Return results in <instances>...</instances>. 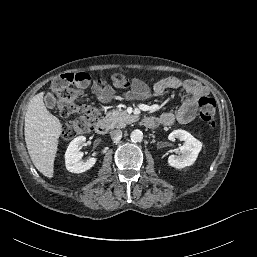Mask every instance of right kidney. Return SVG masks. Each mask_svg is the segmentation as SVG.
<instances>
[{
  "mask_svg": "<svg viewBox=\"0 0 257 257\" xmlns=\"http://www.w3.org/2000/svg\"><path fill=\"white\" fill-rule=\"evenodd\" d=\"M86 141L85 136H78L73 139L65 152L66 169L73 173H82L94 166L97 158L90 157L87 160H82L83 153L79 152L82 144Z\"/></svg>",
  "mask_w": 257,
  "mask_h": 257,
  "instance_id": "1",
  "label": "right kidney"
}]
</instances>
